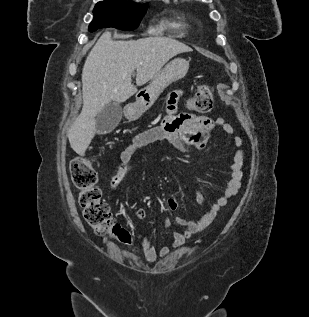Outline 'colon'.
<instances>
[{
  "mask_svg": "<svg viewBox=\"0 0 309 317\" xmlns=\"http://www.w3.org/2000/svg\"><path fill=\"white\" fill-rule=\"evenodd\" d=\"M213 103L211 90L203 85L189 98L188 107L195 112L206 113L211 111ZM70 173L74 185L80 190L79 203L85 221L97 234L130 244L129 233L114 220L109 206L102 200V193L96 186L97 173L91 161L74 158L70 162Z\"/></svg>",
  "mask_w": 309,
  "mask_h": 317,
  "instance_id": "5ec220e1",
  "label": "colon"
}]
</instances>
